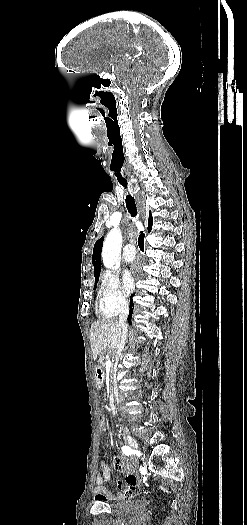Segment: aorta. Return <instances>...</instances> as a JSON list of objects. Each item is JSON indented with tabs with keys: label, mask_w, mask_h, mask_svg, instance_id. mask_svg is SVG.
I'll use <instances>...</instances> for the list:
<instances>
[{
	"label": "aorta",
	"mask_w": 247,
	"mask_h": 525,
	"mask_svg": "<svg viewBox=\"0 0 247 525\" xmlns=\"http://www.w3.org/2000/svg\"><path fill=\"white\" fill-rule=\"evenodd\" d=\"M122 233L113 228L106 236L102 250V262L106 268H114L120 255Z\"/></svg>",
	"instance_id": "obj_1"
}]
</instances>
